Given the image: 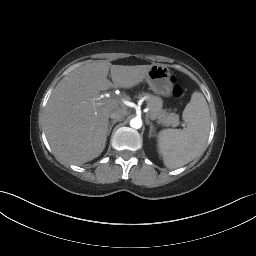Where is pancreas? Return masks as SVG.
<instances>
[{
	"label": "pancreas",
	"instance_id": "1",
	"mask_svg": "<svg viewBox=\"0 0 256 256\" xmlns=\"http://www.w3.org/2000/svg\"><path fill=\"white\" fill-rule=\"evenodd\" d=\"M146 95V103L147 107L149 108V112L146 114L147 118L157 120V123L162 126L176 127L179 125V115L175 112H169L168 110H164L162 108L163 101L160 97L154 96L152 94Z\"/></svg>",
	"mask_w": 256,
	"mask_h": 256
}]
</instances>
